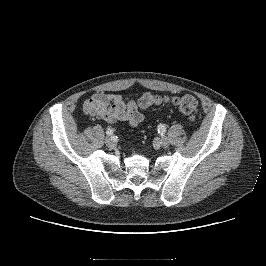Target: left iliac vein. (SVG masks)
I'll use <instances>...</instances> for the list:
<instances>
[{"mask_svg": "<svg viewBox=\"0 0 266 266\" xmlns=\"http://www.w3.org/2000/svg\"><path fill=\"white\" fill-rule=\"evenodd\" d=\"M158 145L162 148H167L169 146V141L165 137L158 138Z\"/></svg>", "mask_w": 266, "mask_h": 266, "instance_id": "4c4485c4", "label": "left iliac vein"}]
</instances>
